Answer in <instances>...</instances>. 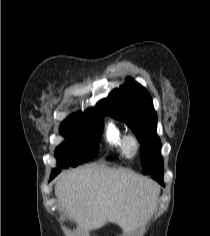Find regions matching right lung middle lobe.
Wrapping results in <instances>:
<instances>
[{"label": "right lung middle lobe", "mask_w": 210, "mask_h": 236, "mask_svg": "<svg viewBox=\"0 0 210 236\" xmlns=\"http://www.w3.org/2000/svg\"><path fill=\"white\" fill-rule=\"evenodd\" d=\"M103 118L104 112H87L71 115L61 123L60 133L66 141L55 151L59 167H75L97 155Z\"/></svg>", "instance_id": "obj_1"}]
</instances>
